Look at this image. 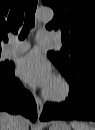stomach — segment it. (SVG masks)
Instances as JSON below:
<instances>
[{"instance_id": "obj_1", "label": "stomach", "mask_w": 95, "mask_h": 130, "mask_svg": "<svg viewBox=\"0 0 95 130\" xmlns=\"http://www.w3.org/2000/svg\"><path fill=\"white\" fill-rule=\"evenodd\" d=\"M49 130H71L70 126L64 121H53L49 124Z\"/></svg>"}]
</instances>
